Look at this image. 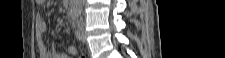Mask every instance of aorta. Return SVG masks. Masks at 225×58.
<instances>
[{
  "instance_id": "obj_1",
  "label": "aorta",
  "mask_w": 225,
  "mask_h": 58,
  "mask_svg": "<svg viewBox=\"0 0 225 58\" xmlns=\"http://www.w3.org/2000/svg\"><path fill=\"white\" fill-rule=\"evenodd\" d=\"M81 1H82V0H77V2H76V4H75L76 12H77L79 15L81 14V11H82Z\"/></svg>"
}]
</instances>
